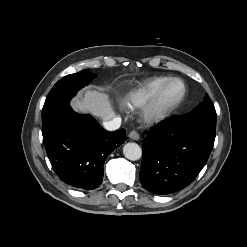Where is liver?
Here are the masks:
<instances>
[{
    "instance_id": "obj_1",
    "label": "liver",
    "mask_w": 247,
    "mask_h": 247,
    "mask_svg": "<svg viewBox=\"0 0 247 247\" xmlns=\"http://www.w3.org/2000/svg\"><path fill=\"white\" fill-rule=\"evenodd\" d=\"M71 106L77 112H90L93 116L108 121L114 117V111L105 93L86 90L81 100L74 99Z\"/></svg>"
}]
</instances>
